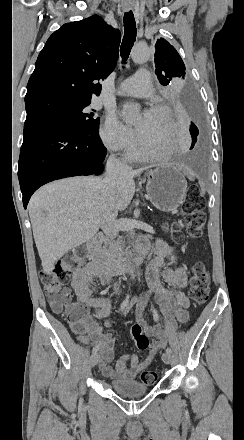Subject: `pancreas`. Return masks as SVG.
<instances>
[{
    "instance_id": "obj_1",
    "label": "pancreas",
    "mask_w": 244,
    "mask_h": 440,
    "mask_svg": "<svg viewBox=\"0 0 244 440\" xmlns=\"http://www.w3.org/2000/svg\"><path fill=\"white\" fill-rule=\"evenodd\" d=\"M111 248L114 250L113 258H120L122 256V236H120L119 242L112 244Z\"/></svg>"
}]
</instances>
